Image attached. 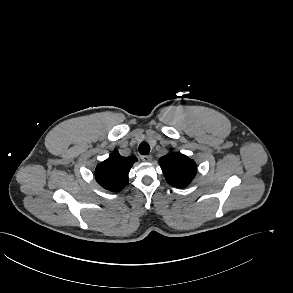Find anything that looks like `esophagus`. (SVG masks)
Returning <instances> with one entry per match:
<instances>
[{
  "label": "esophagus",
  "instance_id": "34e87169",
  "mask_svg": "<svg viewBox=\"0 0 293 293\" xmlns=\"http://www.w3.org/2000/svg\"><path fill=\"white\" fill-rule=\"evenodd\" d=\"M142 161L144 162H150L152 160L151 155L141 156Z\"/></svg>",
  "mask_w": 293,
  "mask_h": 293
}]
</instances>
